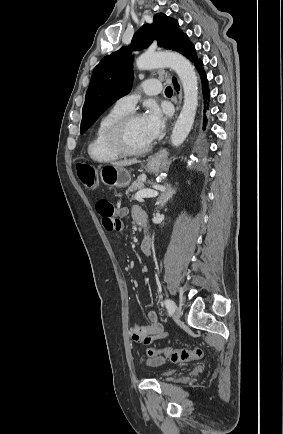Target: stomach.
I'll return each mask as SVG.
<instances>
[{
  "instance_id": "stomach-1",
  "label": "stomach",
  "mask_w": 283,
  "mask_h": 434,
  "mask_svg": "<svg viewBox=\"0 0 283 434\" xmlns=\"http://www.w3.org/2000/svg\"><path fill=\"white\" fill-rule=\"evenodd\" d=\"M163 161L151 156L148 159V171L158 173L162 167ZM101 181L110 187L123 188L130 184L131 176L124 167H116L114 165H106L100 169Z\"/></svg>"
}]
</instances>
